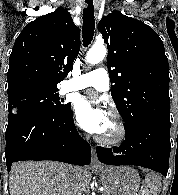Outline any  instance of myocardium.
Here are the masks:
<instances>
[{
	"label": "myocardium",
	"mask_w": 178,
	"mask_h": 195,
	"mask_svg": "<svg viewBox=\"0 0 178 195\" xmlns=\"http://www.w3.org/2000/svg\"><path fill=\"white\" fill-rule=\"evenodd\" d=\"M109 116L112 117L116 126V133L111 138L96 137V141L104 146H117L121 144L127 136V128L121 116L114 110L109 111Z\"/></svg>",
	"instance_id": "myocardium-1"
}]
</instances>
